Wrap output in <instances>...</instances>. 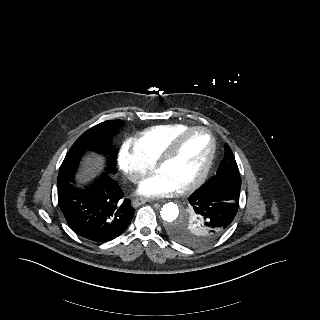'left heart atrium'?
Here are the masks:
<instances>
[{
    "label": "left heart atrium",
    "instance_id": "39dd6f15",
    "mask_svg": "<svg viewBox=\"0 0 320 320\" xmlns=\"http://www.w3.org/2000/svg\"><path fill=\"white\" fill-rule=\"evenodd\" d=\"M179 186L161 171H156L143 180L138 193L147 197H162L176 192Z\"/></svg>",
    "mask_w": 320,
    "mask_h": 320
}]
</instances>
